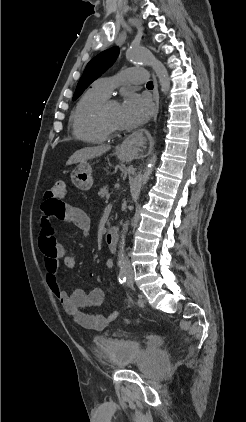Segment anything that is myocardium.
I'll list each match as a JSON object with an SVG mask.
<instances>
[{
  "label": "myocardium",
  "mask_w": 246,
  "mask_h": 422,
  "mask_svg": "<svg viewBox=\"0 0 246 422\" xmlns=\"http://www.w3.org/2000/svg\"><path fill=\"white\" fill-rule=\"evenodd\" d=\"M111 104H117V102L113 99H106L98 108L97 111V118L101 128L110 136L118 135L121 130L119 128H115L107 120L106 111L107 108Z\"/></svg>",
  "instance_id": "f54148a6"
}]
</instances>
